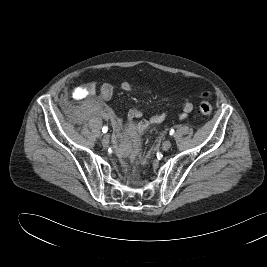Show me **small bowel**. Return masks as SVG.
Returning a JSON list of instances; mask_svg holds the SVG:
<instances>
[{
    "label": "small bowel",
    "instance_id": "1",
    "mask_svg": "<svg viewBox=\"0 0 267 267\" xmlns=\"http://www.w3.org/2000/svg\"><path fill=\"white\" fill-rule=\"evenodd\" d=\"M97 88V84L95 82H91L85 88L86 93L89 96L95 94ZM122 88L125 91H133L135 88L129 84L128 82H124L122 84ZM99 93L101 99L104 102H108L113 95V87L109 83H103L99 86ZM193 110V104L187 100L183 99L181 102V112L179 113V117L182 119L187 118L188 114ZM102 115L105 119L109 120L116 132L123 135L127 138H135L141 132L146 130L150 125L159 124L165 120L167 117V113H158L150 116L148 119H143L140 121H136L137 119L143 116V111L139 108H131L129 109L126 117L127 127L121 131V121L115 116V114L111 110H104ZM135 155H139L140 150L136 147L133 150Z\"/></svg>",
    "mask_w": 267,
    "mask_h": 267
}]
</instances>
